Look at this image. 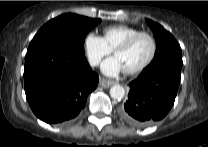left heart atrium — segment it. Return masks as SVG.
I'll return each mask as SVG.
<instances>
[{
    "instance_id": "left-heart-atrium-1",
    "label": "left heart atrium",
    "mask_w": 208,
    "mask_h": 147,
    "mask_svg": "<svg viewBox=\"0 0 208 147\" xmlns=\"http://www.w3.org/2000/svg\"><path fill=\"white\" fill-rule=\"evenodd\" d=\"M101 70L107 76H116L124 69L119 59L116 56H113V57L106 59L101 64Z\"/></svg>"
}]
</instances>
